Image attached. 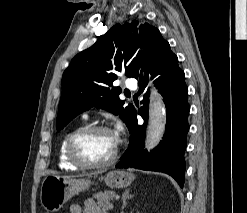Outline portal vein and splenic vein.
<instances>
[{
    "label": "portal vein and splenic vein",
    "instance_id": "1",
    "mask_svg": "<svg viewBox=\"0 0 247 213\" xmlns=\"http://www.w3.org/2000/svg\"><path fill=\"white\" fill-rule=\"evenodd\" d=\"M107 207H108L109 209H113L114 205H113L112 203H109V204L107 205Z\"/></svg>",
    "mask_w": 247,
    "mask_h": 213
}]
</instances>
